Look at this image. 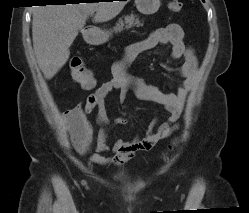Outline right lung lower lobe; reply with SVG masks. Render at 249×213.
<instances>
[{
    "instance_id": "obj_1",
    "label": "right lung lower lobe",
    "mask_w": 249,
    "mask_h": 213,
    "mask_svg": "<svg viewBox=\"0 0 249 213\" xmlns=\"http://www.w3.org/2000/svg\"><path fill=\"white\" fill-rule=\"evenodd\" d=\"M67 1L73 2V1H76V0H47V2L57 3L58 5H59V4L68 3ZM125 1H126V0H125Z\"/></svg>"
}]
</instances>
